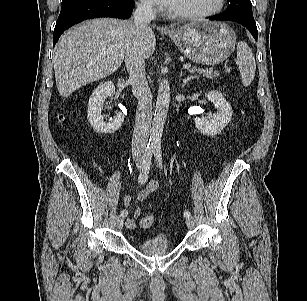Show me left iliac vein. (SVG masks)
Returning a JSON list of instances; mask_svg holds the SVG:
<instances>
[{"label":"left iliac vein","mask_w":307,"mask_h":301,"mask_svg":"<svg viewBox=\"0 0 307 301\" xmlns=\"http://www.w3.org/2000/svg\"><path fill=\"white\" fill-rule=\"evenodd\" d=\"M186 225L189 229H192L194 227V218L191 215L189 217H186Z\"/></svg>","instance_id":"obj_1"}]
</instances>
